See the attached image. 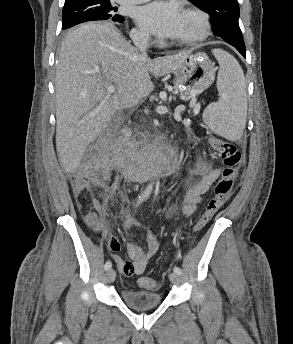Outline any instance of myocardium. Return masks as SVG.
I'll return each mask as SVG.
<instances>
[{
  "label": "myocardium",
  "mask_w": 293,
  "mask_h": 344,
  "mask_svg": "<svg viewBox=\"0 0 293 344\" xmlns=\"http://www.w3.org/2000/svg\"><path fill=\"white\" fill-rule=\"evenodd\" d=\"M184 15L194 17L198 23L197 32L188 38L172 42L176 46H191L203 42L208 38L211 32V22L208 14L199 8H187Z\"/></svg>",
  "instance_id": "obj_1"
}]
</instances>
